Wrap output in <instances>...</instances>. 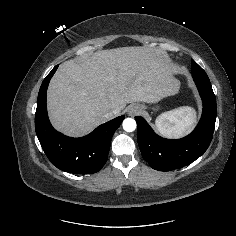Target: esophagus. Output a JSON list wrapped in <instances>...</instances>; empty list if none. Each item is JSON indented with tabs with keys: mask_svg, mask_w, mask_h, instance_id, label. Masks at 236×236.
<instances>
[{
	"mask_svg": "<svg viewBox=\"0 0 236 236\" xmlns=\"http://www.w3.org/2000/svg\"><path fill=\"white\" fill-rule=\"evenodd\" d=\"M141 111H142V108L139 105L133 104L128 108L127 112L130 116H135V115H138Z\"/></svg>",
	"mask_w": 236,
	"mask_h": 236,
	"instance_id": "esophagus-1",
	"label": "esophagus"
}]
</instances>
